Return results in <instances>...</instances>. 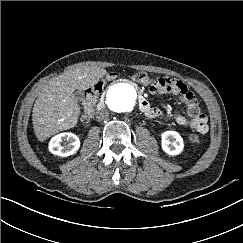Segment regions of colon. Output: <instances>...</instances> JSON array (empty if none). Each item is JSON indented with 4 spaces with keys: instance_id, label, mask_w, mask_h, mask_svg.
I'll return each instance as SVG.
<instances>
[{
    "instance_id": "obj_1",
    "label": "colon",
    "mask_w": 243,
    "mask_h": 243,
    "mask_svg": "<svg viewBox=\"0 0 243 243\" xmlns=\"http://www.w3.org/2000/svg\"><path fill=\"white\" fill-rule=\"evenodd\" d=\"M116 77L115 73H110L107 78L108 79H114ZM132 80L144 85H150L151 86H157L162 85L164 83V80L162 77L156 78V79H150L148 75L145 72H137L132 76ZM104 87V82L99 81L89 89H87L83 96V104L84 109L82 113V118L84 120H87L90 118L92 114L93 106L96 102L97 97L100 95ZM189 141L193 144H199L201 142V139L198 135L191 134L189 136Z\"/></svg>"
}]
</instances>
